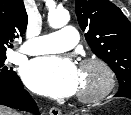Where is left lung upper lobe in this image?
<instances>
[{"instance_id": "1", "label": "left lung upper lobe", "mask_w": 131, "mask_h": 115, "mask_svg": "<svg viewBox=\"0 0 131 115\" xmlns=\"http://www.w3.org/2000/svg\"><path fill=\"white\" fill-rule=\"evenodd\" d=\"M78 23L94 54L115 72L116 97L131 99V23L108 0H76Z\"/></svg>"}]
</instances>
